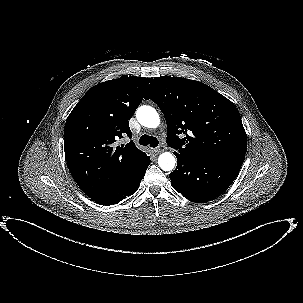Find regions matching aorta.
Returning <instances> with one entry per match:
<instances>
[{
    "label": "aorta",
    "instance_id": "1",
    "mask_svg": "<svg viewBox=\"0 0 303 303\" xmlns=\"http://www.w3.org/2000/svg\"><path fill=\"white\" fill-rule=\"evenodd\" d=\"M138 122L147 128H157L160 124L158 112L151 106H140L136 111ZM176 163L175 157L170 152L162 153L158 158V165L164 171L174 169Z\"/></svg>",
    "mask_w": 303,
    "mask_h": 303
}]
</instances>
